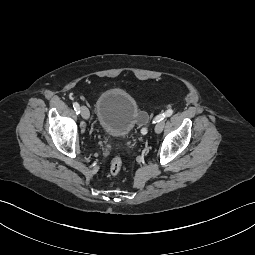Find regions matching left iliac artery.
Returning a JSON list of instances; mask_svg holds the SVG:
<instances>
[{"mask_svg": "<svg viewBox=\"0 0 255 255\" xmlns=\"http://www.w3.org/2000/svg\"><path fill=\"white\" fill-rule=\"evenodd\" d=\"M172 114H173V110H172V109H168V110H166L164 113H162V114L156 116L155 119L153 120V123L160 122V121H162L164 118L169 117V116H171ZM141 133H142V134H146V133H147V130H146V129H142V130H141Z\"/></svg>", "mask_w": 255, "mask_h": 255, "instance_id": "44dca946", "label": "left iliac artery"}]
</instances>
